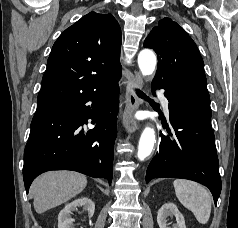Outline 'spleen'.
<instances>
[{"instance_id": "1", "label": "spleen", "mask_w": 238, "mask_h": 228, "mask_svg": "<svg viewBox=\"0 0 238 228\" xmlns=\"http://www.w3.org/2000/svg\"><path fill=\"white\" fill-rule=\"evenodd\" d=\"M173 185L181 204L195 215L199 223L206 224L212 207L211 193L199 183L186 179H176Z\"/></svg>"}]
</instances>
